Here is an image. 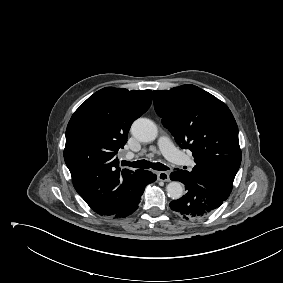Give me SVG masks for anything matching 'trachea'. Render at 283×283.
Returning <instances> with one entry per match:
<instances>
[{"instance_id": "trachea-1", "label": "trachea", "mask_w": 283, "mask_h": 283, "mask_svg": "<svg viewBox=\"0 0 283 283\" xmlns=\"http://www.w3.org/2000/svg\"><path fill=\"white\" fill-rule=\"evenodd\" d=\"M122 164L124 166H130V167H134V168H142V169L152 168L154 170H159V171L169 170V168L162 163H159V162L158 163H152V162L147 161V160H139V161H135V162H128V161L123 160Z\"/></svg>"}]
</instances>
